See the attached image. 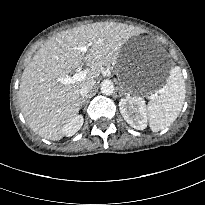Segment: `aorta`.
<instances>
[{"label": "aorta", "instance_id": "762f6f07", "mask_svg": "<svg viewBox=\"0 0 205 205\" xmlns=\"http://www.w3.org/2000/svg\"><path fill=\"white\" fill-rule=\"evenodd\" d=\"M101 93L104 95H111L114 91V85L111 80H104L101 83Z\"/></svg>", "mask_w": 205, "mask_h": 205}]
</instances>
